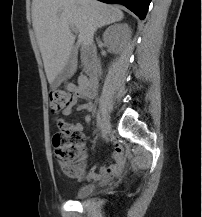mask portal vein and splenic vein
<instances>
[{"instance_id":"obj_1","label":"portal vein and splenic vein","mask_w":202,"mask_h":217,"mask_svg":"<svg viewBox=\"0 0 202 217\" xmlns=\"http://www.w3.org/2000/svg\"><path fill=\"white\" fill-rule=\"evenodd\" d=\"M71 30L73 31V32H75V33H77L78 32V30H77V28H75V27H71Z\"/></svg>"}]
</instances>
